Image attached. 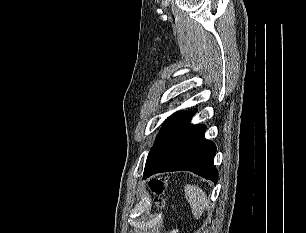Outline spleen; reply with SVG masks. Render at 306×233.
<instances>
[{
  "instance_id": "obj_1",
  "label": "spleen",
  "mask_w": 306,
  "mask_h": 233,
  "mask_svg": "<svg viewBox=\"0 0 306 233\" xmlns=\"http://www.w3.org/2000/svg\"><path fill=\"white\" fill-rule=\"evenodd\" d=\"M185 196L191 206L194 217L199 219L208 205L206 193L196 185H186Z\"/></svg>"
}]
</instances>
